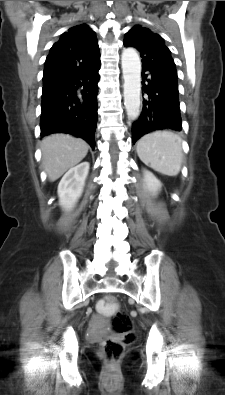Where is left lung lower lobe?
<instances>
[{
  "label": "left lung lower lobe",
  "instance_id": "0a47b994",
  "mask_svg": "<svg viewBox=\"0 0 225 395\" xmlns=\"http://www.w3.org/2000/svg\"><path fill=\"white\" fill-rule=\"evenodd\" d=\"M142 77V94L147 97L143 98L142 113L132 126L133 144L155 130L182 129L177 75L165 70L142 68Z\"/></svg>",
  "mask_w": 225,
  "mask_h": 395
}]
</instances>
